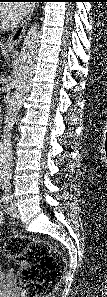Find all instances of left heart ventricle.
<instances>
[{"label":"left heart ventricle","instance_id":"1","mask_svg":"<svg viewBox=\"0 0 107 297\" xmlns=\"http://www.w3.org/2000/svg\"><path fill=\"white\" fill-rule=\"evenodd\" d=\"M0 15H1V20L4 21V20H3V14H2V12L0 13Z\"/></svg>","mask_w":107,"mask_h":297}]
</instances>
